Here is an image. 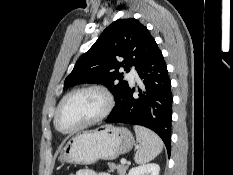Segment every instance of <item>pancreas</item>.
Segmentation results:
<instances>
[{"label":"pancreas","mask_w":233,"mask_h":175,"mask_svg":"<svg viewBox=\"0 0 233 175\" xmlns=\"http://www.w3.org/2000/svg\"><path fill=\"white\" fill-rule=\"evenodd\" d=\"M110 170H117L119 175H126V170L128 169L127 166L123 165V164H119V165H115L113 163H108Z\"/></svg>","instance_id":"cf45deb5"}]
</instances>
